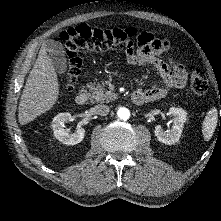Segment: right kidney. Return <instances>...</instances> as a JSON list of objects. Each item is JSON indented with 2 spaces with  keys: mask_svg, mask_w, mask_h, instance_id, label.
Wrapping results in <instances>:
<instances>
[{
  "mask_svg": "<svg viewBox=\"0 0 221 221\" xmlns=\"http://www.w3.org/2000/svg\"><path fill=\"white\" fill-rule=\"evenodd\" d=\"M72 115L70 113H59L53 118L52 128L56 139L66 145H75L80 143L85 135V130L78 127L75 133L67 132L63 127L64 123L70 121Z\"/></svg>",
  "mask_w": 221,
  "mask_h": 221,
  "instance_id": "right-kidney-1",
  "label": "right kidney"
}]
</instances>
